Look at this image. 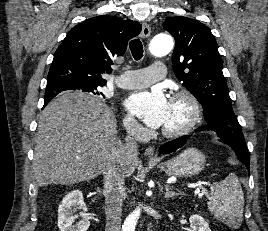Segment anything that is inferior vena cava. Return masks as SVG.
Returning <instances> with one entry per match:
<instances>
[{"label":"inferior vena cava","mask_w":268,"mask_h":231,"mask_svg":"<svg viewBox=\"0 0 268 231\" xmlns=\"http://www.w3.org/2000/svg\"><path fill=\"white\" fill-rule=\"evenodd\" d=\"M127 136L124 145L112 155L103 170L105 192V231H120L124 184L125 162H134L138 156L137 139L140 127L134 122L126 125Z\"/></svg>","instance_id":"inferior-vena-cava-1"}]
</instances>
